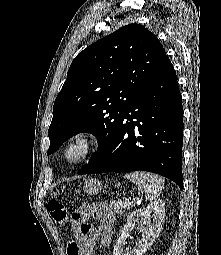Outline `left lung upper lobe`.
Here are the masks:
<instances>
[{"mask_svg":"<svg viewBox=\"0 0 221 255\" xmlns=\"http://www.w3.org/2000/svg\"><path fill=\"white\" fill-rule=\"evenodd\" d=\"M159 39L141 24L126 25L91 44L73 60L53 106L48 136L54 153L80 132L105 147L128 106L165 59Z\"/></svg>","mask_w":221,"mask_h":255,"instance_id":"1","label":"left lung upper lobe"}]
</instances>
